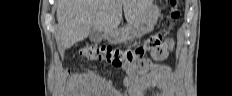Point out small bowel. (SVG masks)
Listing matches in <instances>:
<instances>
[{
  "label": "small bowel",
  "mask_w": 232,
  "mask_h": 96,
  "mask_svg": "<svg viewBox=\"0 0 232 96\" xmlns=\"http://www.w3.org/2000/svg\"><path fill=\"white\" fill-rule=\"evenodd\" d=\"M173 46V41H166L163 45L166 50L172 49ZM150 50L153 53L152 48H150ZM138 66L139 64L133 69V71ZM155 71V73L142 74L137 77H127L125 84L128 86V95L142 96L148 91L154 90L157 94L173 96L177 91L175 86V73L168 67H156Z\"/></svg>",
  "instance_id": "small-bowel-1"
}]
</instances>
